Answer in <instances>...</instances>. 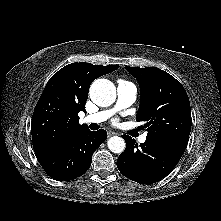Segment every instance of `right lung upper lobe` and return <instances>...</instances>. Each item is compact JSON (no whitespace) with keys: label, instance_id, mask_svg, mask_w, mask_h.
I'll return each mask as SVG.
<instances>
[{"label":"right lung upper lobe","instance_id":"obj_1","mask_svg":"<svg viewBox=\"0 0 221 221\" xmlns=\"http://www.w3.org/2000/svg\"><path fill=\"white\" fill-rule=\"evenodd\" d=\"M118 68V65L72 63L50 78L32 116V141L36 156L55 149L87 129L86 125L79 124L78 113L85 112L91 83Z\"/></svg>","mask_w":221,"mask_h":221}]
</instances>
